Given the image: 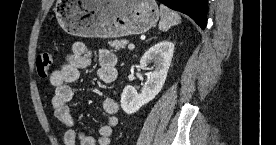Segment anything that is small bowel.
I'll list each match as a JSON object with an SVG mask.
<instances>
[{"mask_svg": "<svg viewBox=\"0 0 276 145\" xmlns=\"http://www.w3.org/2000/svg\"><path fill=\"white\" fill-rule=\"evenodd\" d=\"M99 69L97 76L100 82L111 84L116 80V55L107 49L98 52ZM90 64V51L85 43L76 41L72 44L71 53L66 57V63L54 70L49 81L55 92L52 98V107L55 117L67 127L64 133L65 145H110L113 128L118 124V105L114 98L105 97L102 109L107 115V122L99 128L98 137L94 138L75 128V121L70 102L74 91L71 83L77 81L80 71Z\"/></svg>", "mask_w": 276, "mask_h": 145, "instance_id": "c3829d8e", "label": "small bowel"}]
</instances>
